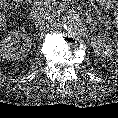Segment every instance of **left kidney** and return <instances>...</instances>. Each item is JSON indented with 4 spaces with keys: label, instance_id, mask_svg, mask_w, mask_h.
<instances>
[{
    "label": "left kidney",
    "instance_id": "left-kidney-1",
    "mask_svg": "<svg viewBox=\"0 0 118 118\" xmlns=\"http://www.w3.org/2000/svg\"><path fill=\"white\" fill-rule=\"evenodd\" d=\"M91 45L94 49V53L101 59L112 58L113 55V42L112 39L106 36H95Z\"/></svg>",
    "mask_w": 118,
    "mask_h": 118
}]
</instances>
